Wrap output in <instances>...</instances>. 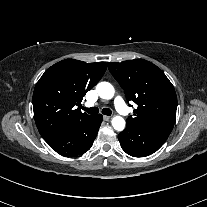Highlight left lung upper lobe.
Segmentation results:
<instances>
[{
    "mask_svg": "<svg viewBox=\"0 0 207 207\" xmlns=\"http://www.w3.org/2000/svg\"><path fill=\"white\" fill-rule=\"evenodd\" d=\"M108 68L127 99L138 106L127 124L168 137L176 119L177 97L166 75L143 59L109 62Z\"/></svg>",
    "mask_w": 207,
    "mask_h": 207,
    "instance_id": "5c2ea615",
    "label": "left lung upper lobe"
}]
</instances>
